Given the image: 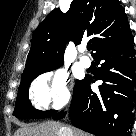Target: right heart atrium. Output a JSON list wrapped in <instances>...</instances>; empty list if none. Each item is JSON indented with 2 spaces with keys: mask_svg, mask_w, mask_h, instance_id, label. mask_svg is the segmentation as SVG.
<instances>
[{
  "mask_svg": "<svg viewBox=\"0 0 136 136\" xmlns=\"http://www.w3.org/2000/svg\"><path fill=\"white\" fill-rule=\"evenodd\" d=\"M30 99L37 109H60L68 105L70 92L65 72L56 70L39 76L31 85Z\"/></svg>",
  "mask_w": 136,
  "mask_h": 136,
  "instance_id": "1",
  "label": "right heart atrium"
}]
</instances>
